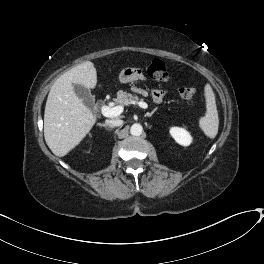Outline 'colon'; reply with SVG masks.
<instances>
[{
    "label": "colon",
    "mask_w": 264,
    "mask_h": 264,
    "mask_svg": "<svg viewBox=\"0 0 264 264\" xmlns=\"http://www.w3.org/2000/svg\"><path fill=\"white\" fill-rule=\"evenodd\" d=\"M148 75L154 80L164 81L168 78V70L162 61L155 59L148 67ZM179 94L182 99L190 101L195 98L196 90L183 86L179 89Z\"/></svg>",
    "instance_id": "5ec220e1"
}]
</instances>
